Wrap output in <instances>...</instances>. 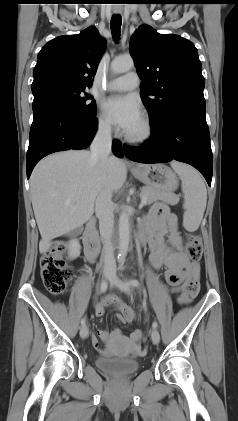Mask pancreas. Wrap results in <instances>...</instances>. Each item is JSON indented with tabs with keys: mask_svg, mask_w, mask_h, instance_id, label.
Returning <instances> with one entry per match:
<instances>
[{
	"mask_svg": "<svg viewBox=\"0 0 238 421\" xmlns=\"http://www.w3.org/2000/svg\"><path fill=\"white\" fill-rule=\"evenodd\" d=\"M144 196H146L147 204H152L153 202L160 200L168 204L174 205L176 204L174 200L175 199L177 200V198H175L172 194L156 189V188H152V187L142 188L141 194H140L141 199Z\"/></svg>",
	"mask_w": 238,
	"mask_h": 421,
	"instance_id": "pancreas-1",
	"label": "pancreas"
}]
</instances>
